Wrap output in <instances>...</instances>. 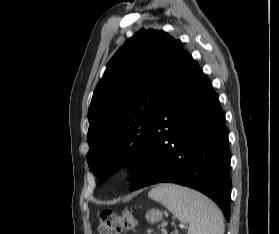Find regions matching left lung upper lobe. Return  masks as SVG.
I'll return each mask as SVG.
<instances>
[{"label": "left lung upper lobe", "mask_w": 279, "mask_h": 234, "mask_svg": "<svg viewBox=\"0 0 279 234\" xmlns=\"http://www.w3.org/2000/svg\"><path fill=\"white\" fill-rule=\"evenodd\" d=\"M183 50L168 33L141 29L109 61L88 110L87 161L101 182L121 166L138 171L155 110Z\"/></svg>", "instance_id": "5c2ea615"}]
</instances>
